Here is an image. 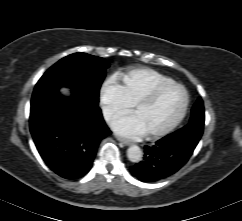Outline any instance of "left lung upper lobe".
Here are the masks:
<instances>
[{"instance_id":"1","label":"left lung upper lobe","mask_w":242,"mask_h":221,"mask_svg":"<svg viewBox=\"0 0 242 221\" xmlns=\"http://www.w3.org/2000/svg\"><path fill=\"white\" fill-rule=\"evenodd\" d=\"M204 127V106L201 98L194 104L189 123L182 129H194L203 132Z\"/></svg>"}]
</instances>
